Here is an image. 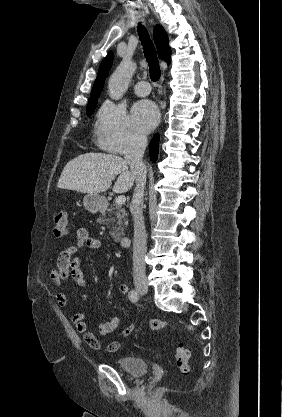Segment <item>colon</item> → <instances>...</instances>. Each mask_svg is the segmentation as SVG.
<instances>
[{"mask_svg":"<svg viewBox=\"0 0 282 417\" xmlns=\"http://www.w3.org/2000/svg\"><path fill=\"white\" fill-rule=\"evenodd\" d=\"M69 223H70L69 217L66 212L61 211L57 213L52 223L54 234L57 237L64 236L69 228ZM148 326H149L150 331L156 332L158 330L168 328L171 325L165 320L153 318L149 320ZM189 355H190V352L186 348V346L183 343H177L176 353H175V363L183 373H187L189 371V367L187 364Z\"/></svg>","mask_w":282,"mask_h":417,"instance_id":"obj_1","label":"colon"}]
</instances>
